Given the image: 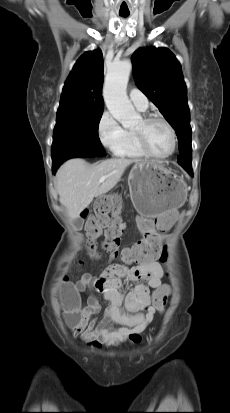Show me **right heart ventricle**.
Segmentation results:
<instances>
[{
	"label": "right heart ventricle",
	"mask_w": 230,
	"mask_h": 413,
	"mask_svg": "<svg viewBox=\"0 0 230 413\" xmlns=\"http://www.w3.org/2000/svg\"><path fill=\"white\" fill-rule=\"evenodd\" d=\"M126 135L124 142L117 151L116 155L121 158L139 159L145 157V153L141 150L134 131L125 130Z\"/></svg>",
	"instance_id": "obj_1"
}]
</instances>
